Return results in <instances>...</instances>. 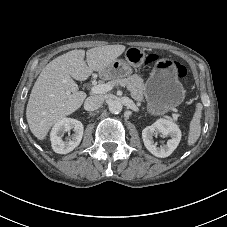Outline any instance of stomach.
<instances>
[{
	"instance_id": "obj_1",
	"label": "stomach",
	"mask_w": 227,
	"mask_h": 227,
	"mask_svg": "<svg viewBox=\"0 0 227 227\" xmlns=\"http://www.w3.org/2000/svg\"><path fill=\"white\" fill-rule=\"evenodd\" d=\"M145 52L138 47H130L125 52V59H117L100 71L105 79H116L128 76L132 67L144 63ZM144 97L147 111L153 115H163L180 105L185 98V89L178 81L175 63L170 59L157 62L146 82Z\"/></svg>"
}]
</instances>
